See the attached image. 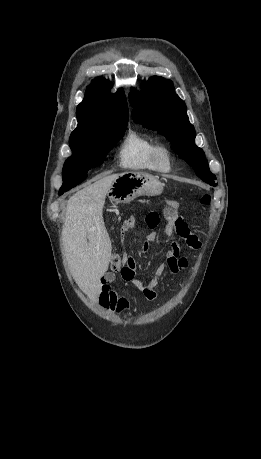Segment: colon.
I'll return each instance as SVG.
<instances>
[{
  "label": "colon",
  "instance_id": "5ec220e1",
  "mask_svg": "<svg viewBox=\"0 0 261 459\" xmlns=\"http://www.w3.org/2000/svg\"><path fill=\"white\" fill-rule=\"evenodd\" d=\"M211 198L209 195H203L200 202L202 205L207 206L210 204ZM179 203L176 200H168L167 206L165 210V217L168 221H171L176 226L177 230H183L185 226V221L179 215ZM145 224L150 229H155L158 227L160 223V217L157 212H150L145 216ZM124 255L121 252H118L116 255L112 257L111 260V269L115 272L121 271L123 268L122 259Z\"/></svg>",
  "mask_w": 261,
  "mask_h": 459
}]
</instances>
